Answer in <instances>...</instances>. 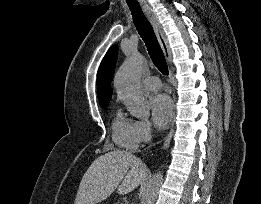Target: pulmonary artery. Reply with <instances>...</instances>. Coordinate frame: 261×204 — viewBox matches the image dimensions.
Instances as JSON below:
<instances>
[{
	"instance_id": "obj_1",
	"label": "pulmonary artery",
	"mask_w": 261,
	"mask_h": 204,
	"mask_svg": "<svg viewBox=\"0 0 261 204\" xmlns=\"http://www.w3.org/2000/svg\"><path fill=\"white\" fill-rule=\"evenodd\" d=\"M143 87L148 91H157L161 88V82L156 76L146 77L143 82Z\"/></svg>"
}]
</instances>
